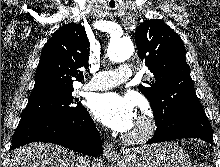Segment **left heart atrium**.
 <instances>
[{
	"label": "left heart atrium",
	"mask_w": 220,
	"mask_h": 167,
	"mask_svg": "<svg viewBox=\"0 0 220 167\" xmlns=\"http://www.w3.org/2000/svg\"><path fill=\"white\" fill-rule=\"evenodd\" d=\"M89 107L97 120L118 132L130 131L137 120L136 101L128 95L101 93L92 98Z\"/></svg>",
	"instance_id": "obj_1"
}]
</instances>
